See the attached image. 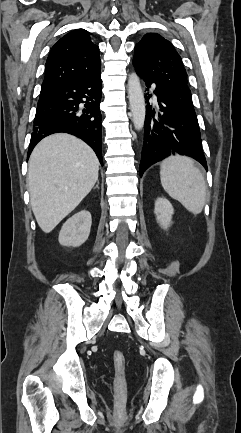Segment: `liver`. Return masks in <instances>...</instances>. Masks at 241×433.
Wrapping results in <instances>:
<instances>
[{"instance_id":"liver-1","label":"liver","mask_w":241,"mask_h":433,"mask_svg":"<svg viewBox=\"0 0 241 433\" xmlns=\"http://www.w3.org/2000/svg\"><path fill=\"white\" fill-rule=\"evenodd\" d=\"M99 161L82 140L64 133L40 141L29 159L32 211L43 232H51L91 191Z\"/></svg>"}]
</instances>
